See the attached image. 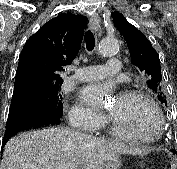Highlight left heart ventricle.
<instances>
[{
  "instance_id": "b2bd125f",
  "label": "left heart ventricle",
  "mask_w": 177,
  "mask_h": 169,
  "mask_svg": "<svg viewBox=\"0 0 177 169\" xmlns=\"http://www.w3.org/2000/svg\"><path fill=\"white\" fill-rule=\"evenodd\" d=\"M124 129L132 135H155L161 129L157 112L144 99L119 95L109 107Z\"/></svg>"
}]
</instances>
